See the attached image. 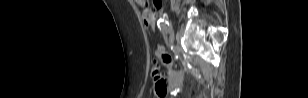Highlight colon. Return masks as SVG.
Here are the masks:
<instances>
[{"label":"colon","mask_w":308,"mask_h":98,"mask_svg":"<svg viewBox=\"0 0 308 98\" xmlns=\"http://www.w3.org/2000/svg\"><path fill=\"white\" fill-rule=\"evenodd\" d=\"M160 4H161L160 0L154 1V6L160 5ZM138 13L140 16H143L142 19L144 21V25L146 26L147 31H156V28H157L156 24H151V22H153L155 19L151 10L150 9H140ZM159 59L164 65L168 67L174 66L172 57L165 52L159 53ZM153 75L155 77L154 87H155L156 93L158 94V96L162 97L166 94L165 79H163V76L157 67H154Z\"/></svg>","instance_id":"colon-1"}]
</instances>
